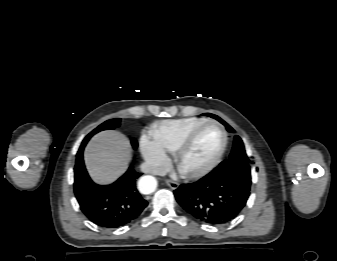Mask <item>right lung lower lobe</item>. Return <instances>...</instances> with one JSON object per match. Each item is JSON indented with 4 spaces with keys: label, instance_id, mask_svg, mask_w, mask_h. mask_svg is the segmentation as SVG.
Here are the masks:
<instances>
[{
    "label": "right lung lower lobe",
    "instance_id": "right-lung-lower-lobe-1",
    "mask_svg": "<svg viewBox=\"0 0 337 261\" xmlns=\"http://www.w3.org/2000/svg\"><path fill=\"white\" fill-rule=\"evenodd\" d=\"M85 147V146H84ZM81 145L74 168V193L82 212L98 226L115 229L134 221L148 205L136 188L141 173L132 166L111 185L100 186L89 177Z\"/></svg>",
    "mask_w": 337,
    "mask_h": 261
}]
</instances>
